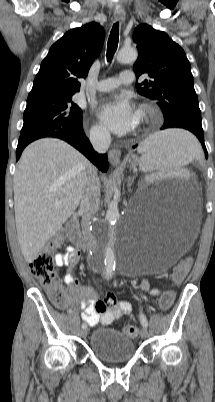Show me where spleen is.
Segmentation results:
<instances>
[{
  "instance_id": "3e777b00",
  "label": "spleen",
  "mask_w": 215,
  "mask_h": 402,
  "mask_svg": "<svg viewBox=\"0 0 215 402\" xmlns=\"http://www.w3.org/2000/svg\"><path fill=\"white\" fill-rule=\"evenodd\" d=\"M143 152L140 168L143 171L179 170L191 159L201 157L195 133L190 128H169L149 137L138 148Z\"/></svg>"
}]
</instances>
